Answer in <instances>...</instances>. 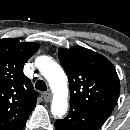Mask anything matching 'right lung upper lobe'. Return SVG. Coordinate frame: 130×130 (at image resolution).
<instances>
[{"mask_svg": "<svg viewBox=\"0 0 130 130\" xmlns=\"http://www.w3.org/2000/svg\"><path fill=\"white\" fill-rule=\"evenodd\" d=\"M39 47L34 42L0 39V130L23 125L36 105L38 93L24 75L23 66Z\"/></svg>", "mask_w": 130, "mask_h": 130, "instance_id": "obj_1", "label": "right lung upper lobe"}]
</instances>
